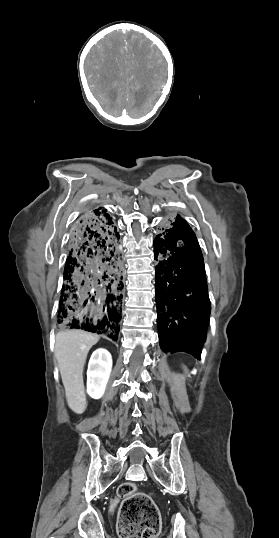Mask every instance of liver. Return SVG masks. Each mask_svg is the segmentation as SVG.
Listing matches in <instances>:
<instances>
[{"label":"liver","mask_w":279,"mask_h":538,"mask_svg":"<svg viewBox=\"0 0 279 538\" xmlns=\"http://www.w3.org/2000/svg\"><path fill=\"white\" fill-rule=\"evenodd\" d=\"M99 336L84 330H63L55 338V358L58 362L67 404L75 414L86 410L83 368L87 354L97 344Z\"/></svg>","instance_id":"liver-1"}]
</instances>
